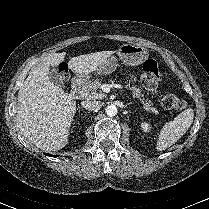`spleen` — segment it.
<instances>
[{
  "mask_svg": "<svg viewBox=\"0 0 209 209\" xmlns=\"http://www.w3.org/2000/svg\"><path fill=\"white\" fill-rule=\"evenodd\" d=\"M194 111L188 108L181 112L173 121L167 122L160 130L156 149L163 151L177 142L189 129L193 122Z\"/></svg>",
  "mask_w": 209,
  "mask_h": 209,
  "instance_id": "spleen-1",
  "label": "spleen"
}]
</instances>
